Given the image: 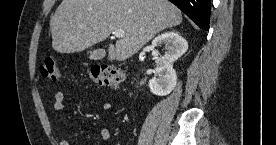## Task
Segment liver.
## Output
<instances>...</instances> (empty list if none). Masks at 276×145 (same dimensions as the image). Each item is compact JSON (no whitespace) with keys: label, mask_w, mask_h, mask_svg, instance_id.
<instances>
[{"label":"liver","mask_w":276,"mask_h":145,"mask_svg":"<svg viewBox=\"0 0 276 145\" xmlns=\"http://www.w3.org/2000/svg\"><path fill=\"white\" fill-rule=\"evenodd\" d=\"M181 22V11L168 0H63L50 22L52 46L59 53L80 52L122 29L108 59L123 61Z\"/></svg>","instance_id":"6515ba94"}]
</instances>
